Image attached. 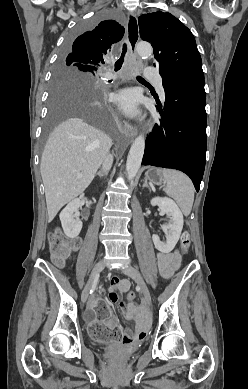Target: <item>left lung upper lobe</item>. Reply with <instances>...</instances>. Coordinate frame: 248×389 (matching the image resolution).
Here are the masks:
<instances>
[{
  "mask_svg": "<svg viewBox=\"0 0 248 389\" xmlns=\"http://www.w3.org/2000/svg\"><path fill=\"white\" fill-rule=\"evenodd\" d=\"M140 36L151 43L163 79V87L188 75H204L202 61L191 31L170 13L141 15Z\"/></svg>",
  "mask_w": 248,
  "mask_h": 389,
  "instance_id": "left-lung-upper-lobe-1",
  "label": "left lung upper lobe"
}]
</instances>
